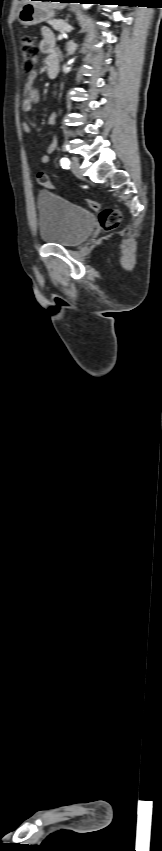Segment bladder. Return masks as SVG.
I'll return each instance as SVG.
<instances>
[{
	"mask_svg": "<svg viewBox=\"0 0 162 851\" xmlns=\"http://www.w3.org/2000/svg\"><path fill=\"white\" fill-rule=\"evenodd\" d=\"M36 204L39 235L44 243L74 247L85 241L94 228L93 213L50 190H41Z\"/></svg>",
	"mask_w": 162,
	"mask_h": 851,
	"instance_id": "obj_1",
	"label": "bladder"
}]
</instances>
